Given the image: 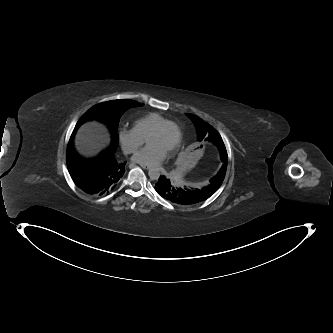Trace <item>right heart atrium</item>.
<instances>
[{
	"instance_id": "right-heart-atrium-1",
	"label": "right heart atrium",
	"mask_w": 333,
	"mask_h": 333,
	"mask_svg": "<svg viewBox=\"0 0 333 333\" xmlns=\"http://www.w3.org/2000/svg\"><path fill=\"white\" fill-rule=\"evenodd\" d=\"M119 140L121 147L127 154H132L138 150L145 141L138 131L133 128L123 127L119 131Z\"/></svg>"
}]
</instances>
